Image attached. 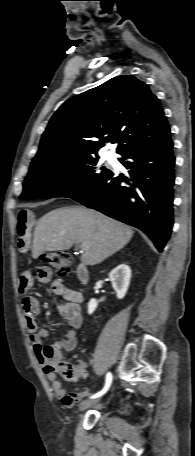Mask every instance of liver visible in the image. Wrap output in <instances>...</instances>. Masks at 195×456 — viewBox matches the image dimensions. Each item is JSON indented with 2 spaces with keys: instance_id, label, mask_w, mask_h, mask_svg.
Masks as SVG:
<instances>
[{
  "instance_id": "6515ba94",
  "label": "liver",
  "mask_w": 195,
  "mask_h": 456,
  "mask_svg": "<svg viewBox=\"0 0 195 456\" xmlns=\"http://www.w3.org/2000/svg\"><path fill=\"white\" fill-rule=\"evenodd\" d=\"M133 233L129 226L92 209H55L44 215L35 228L32 257L68 250L79 243L86 246L81 261L93 266L121 250Z\"/></svg>"
}]
</instances>
